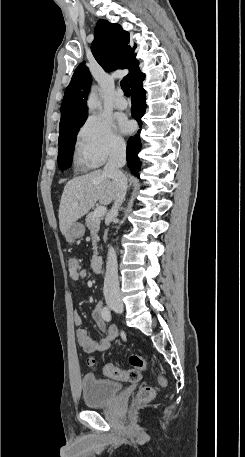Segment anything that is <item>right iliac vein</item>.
<instances>
[{
	"label": "right iliac vein",
	"instance_id": "obj_1",
	"mask_svg": "<svg viewBox=\"0 0 245 457\" xmlns=\"http://www.w3.org/2000/svg\"><path fill=\"white\" fill-rule=\"evenodd\" d=\"M106 302L116 312L123 311V302L120 297L106 296Z\"/></svg>",
	"mask_w": 245,
	"mask_h": 457
}]
</instances>
